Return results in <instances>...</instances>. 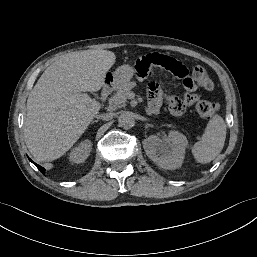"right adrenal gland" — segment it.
<instances>
[{"label": "right adrenal gland", "instance_id": "right-adrenal-gland-1", "mask_svg": "<svg viewBox=\"0 0 257 257\" xmlns=\"http://www.w3.org/2000/svg\"><path fill=\"white\" fill-rule=\"evenodd\" d=\"M98 122V120H93L92 122H91V124H94V123H97Z\"/></svg>", "mask_w": 257, "mask_h": 257}]
</instances>
